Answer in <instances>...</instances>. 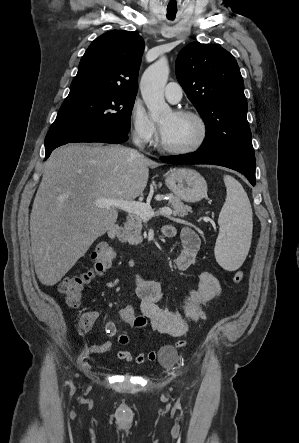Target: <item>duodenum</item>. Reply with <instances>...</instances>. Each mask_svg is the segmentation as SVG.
I'll return each instance as SVG.
<instances>
[{
	"instance_id": "410a0bca",
	"label": "duodenum",
	"mask_w": 299,
	"mask_h": 443,
	"mask_svg": "<svg viewBox=\"0 0 299 443\" xmlns=\"http://www.w3.org/2000/svg\"><path fill=\"white\" fill-rule=\"evenodd\" d=\"M120 234V227L118 224L113 223L109 226L108 228V236L112 239V240H116L119 237Z\"/></svg>"
}]
</instances>
